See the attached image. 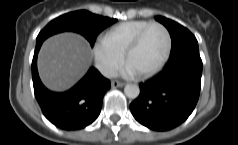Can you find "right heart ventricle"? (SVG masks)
<instances>
[{
  "mask_svg": "<svg viewBox=\"0 0 238 145\" xmlns=\"http://www.w3.org/2000/svg\"><path fill=\"white\" fill-rule=\"evenodd\" d=\"M151 22L146 20H132L120 23L110 28L104 39L121 53H125L128 45L136 35Z\"/></svg>",
  "mask_w": 238,
  "mask_h": 145,
  "instance_id": "e07e8e85",
  "label": "right heart ventricle"
}]
</instances>
